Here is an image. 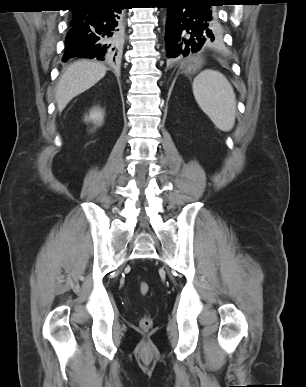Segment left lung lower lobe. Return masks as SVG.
<instances>
[{
    "label": "left lung lower lobe",
    "mask_w": 306,
    "mask_h": 387,
    "mask_svg": "<svg viewBox=\"0 0 306 387\" xmlns=\"http://www.w3.org/2000/svg\"><path fill=\"white\" fill-rule=\"evenodd\" d=\"M168 7L166 56L176 66L179 60L204 49L214 41L218 0H163Z\"/></svg>",
    "instance_id": "left-lung-lower-lobe-1"
}]
</instances>
